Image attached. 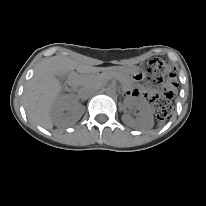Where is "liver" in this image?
<instances>
[{"mask_svg": "<svg viewBox=\"0 0 206 206\" xmlns=\"http://www.w3.org/2000/svg\"><path fill=\"white\" fill-rule=\"evenodd\" d=\"M87 68L79 61L62 55L42 61L24 90V103L28 118L43 126L53 124L68 126L76 123L81 118L82 112H74L70 115L58 114L60 109L53 112L54 105L62 91V84L56 75L59 72H70L75 69L83 72L87 71Z\"/></svg>", "mask_w": 206, "mask_h": 206, "instance_id": "6515ba94", "label": "liver"}]
</instances>
